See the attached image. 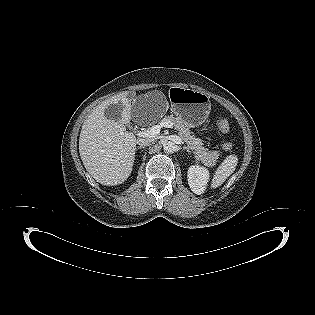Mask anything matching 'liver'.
<instances>
[{
    "label": "liver",
    "instance_id": "obj_1",
    "mask_svg": "<svg viewBox=\"0 0 315 315\" xmlns=\"http://www.w3.org/2000/svg\"><path fill=\"white\" fill-rule=\"evenodd\" d=\"M122 105L121 119H108L104 111L110 104ZM132 105L124 93L113 96L95 107L84 121L79 137V153L87 172L102 185L123 183L134 164L137 139L126 131Z\"/></svg>",
    "mask_w": 315,
    "mask_h": 315
}]
</instances>
